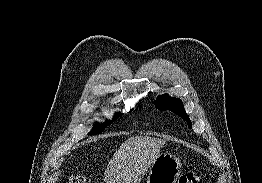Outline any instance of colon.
I'll list each match as a JSON object with an SVG mask.
<instances>
[{
  "mask_svg": "<svg viewBox=\"0 0 262 183\" xmlns=\"http://www.w3.org/2000/svg\"><path fill=\"white\" fill-rule=\"evenodd\" d=\"M205 174L187 173L180 177L178 183H204ZM68 183H92L91 179L84 175H75L70 178Z\"/></svg>",
  "mask_w": 262,
  "mask_h": 183,
  "instance_id": "colon-1",
  "label": "colon"
}]
</instances>
